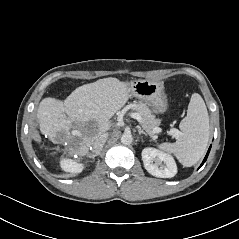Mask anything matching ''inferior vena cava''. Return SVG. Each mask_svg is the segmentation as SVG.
I'll list each match as a JSON object with an SVG mask.
<instances>
[{
	"label": "inferior vena cava",
	"instance_id": "obj_1",
	"mask_svg": "<svg viewBox=\"0 0 239 239\" xmlns=\"http://www.w3.org/2000/svg\"><path fill=\"white\" fill-rule=\"evenodd\" d=\"M107 139H108L107 133H103V134L99 135L95 141V147L98 150H101L103 148L105 142L107 141Z\"/></svg>",
	"mask_w": 239,
	"mask_h": 239
}]
</instances>
